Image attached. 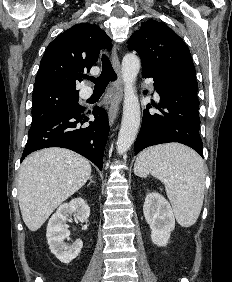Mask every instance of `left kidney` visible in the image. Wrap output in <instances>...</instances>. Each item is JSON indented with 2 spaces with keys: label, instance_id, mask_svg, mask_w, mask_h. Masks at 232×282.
<instances>
[{
  "label": "left kidney",
  "instance_id": "left-kidney-1",
  "mask_svg": "<svg viewBox=\"0 0 232 282\" xmlns=\"http://www.w3.org/2000/svg\"><path fill=\"white\" fill-rule=\"evenodd\" d=\"M143 213L151 229L152 242L166 246L171 231L175 228V218L169 202L159 193H149L143 205Z\"/></svg>",
  "mask_w": 232,
  "mask_h": 282
}]
</instances>
